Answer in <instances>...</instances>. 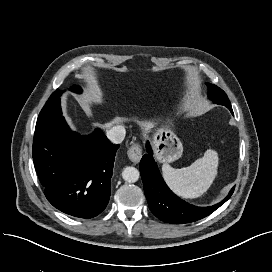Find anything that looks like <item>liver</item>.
Wrapping results in <instances>:
<instances>
[{"label":"liver","instance_id":"1","mask_svg":"<svg viewBox=\"0 0 272 272\" xmlns=\"http://www.w3.org/2000/svg\"><path fill=\"white\" fill-rule=\"evenodd\" d=\"M123 121H124L123 118H121V117H115L112 121L107 122V123H105L104 125H102V128L108 130V129H110L111 126H113L114 124H120V123H122ZM139 125H140L141 127H143L145 130H149V129H151V128L154 127L155 123L150 122V121H149V122H147V121H142V122H139Z\"/></svg>","mask_w":272,"mask_h":272}]
</instances>
